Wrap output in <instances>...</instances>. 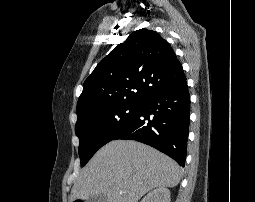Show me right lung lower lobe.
Returning a JSON list of instances; mask_svg holds the SVG:
<instances>
[{"label":"right lung lower lobe","mask_w":255,"mask_h":202,"mask_svg":"<svg viewBox=\"0 0 255 202\" xmlns=\"http://www.w3.org/2000/svg\"><path fill=\"white\" fill-rule=\"evenodd\" d=\"M189 118L190 96L185 81L144 100L134 118L113 140L131 139L148 144L184 167Z\"/></svg>","instance_id":"98d812e1"}]
</instances>
